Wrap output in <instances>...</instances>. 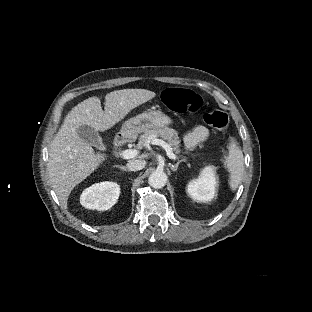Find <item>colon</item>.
<instances>
[{
  "mask_svg": "<svg viewBox=\"0 0 312 312\" xmlns=\"http://www.w3.org/2000/svg\"><path fill=\"white\" fill-rule=\"evenodd\" d=\"M164 105L175 113L192 114L197 112L202 107L201 98L192 90L189 89H173L165 90V97L163 98ZM204 121L216 128L224 129L228 125V115L219 110L209 111L203 116ZM102 142L98 148V158L100 161L106 160V147L109 141V134L104 133Z\"/></svg>",
  "mask_w": 312,
  "mask_h": 312,
  "instance_id": "1",
  "label": "colon"
}]
</instances>
